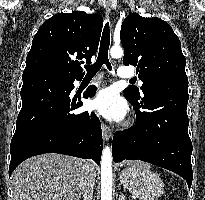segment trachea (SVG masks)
Wrapping results in <instances>:
<instances>
[{
	"mask_svg": "<svg viewBox=\"0 0 205 200\" xmlns=\"http://www.w3.org/2000/svg\"><path fill=\"white\" fill-rule=\"evenodd\" d=\"M109 45H110V28H109V22H107L103 29L97 60L94 64L85 66L88 76H94L101 69L103 64H105L110 71L112 70V66L108 59Z\"/></svg>",
	"mask_w": 205,
	"mask_h": 200,
	"instance_id": "trachea-1",
	"label": "trachea"
}]
</instances>
